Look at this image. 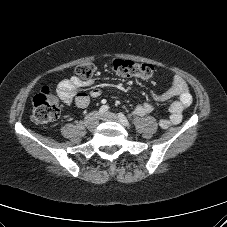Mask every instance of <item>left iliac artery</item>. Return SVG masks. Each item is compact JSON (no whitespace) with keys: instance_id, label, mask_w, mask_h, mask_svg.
<instances>
[{"instance_id":"obj_1","label":"left iliac artery","mask_w":227,"mask_h":227,"mask_svg":"<svg viewBox=\"0 0 227 227\" xmlns=\"http://www.w3.org/2000/svg\"><path fill=\"white\" fill-rule=\"evenodd\" d=\"M118 117H119V119H120L126 126H130L129 121L127 120V118L125 117L124 114L119 113V114H118Z\"/></svg>"}]
</instances>
